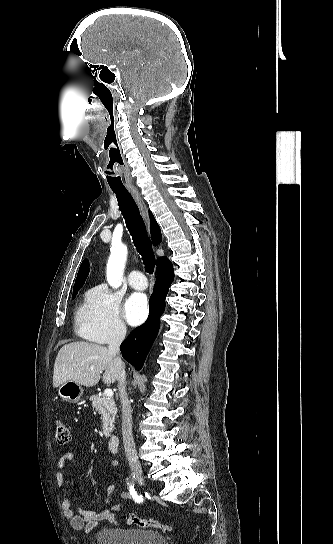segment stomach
<instances>
[{"label":"stomach","mask_w":333,"mask_h":544,"mask_svg":"<svg viewBox=\"0 0 333 544\" xmlns=\"http://www.w3.org/2000/svg\"><path fill=\"white\" fill-rule=\"evenodd\" d=\"M83 395V388L80 384L71 380L64 382L58 388V396L61 400L77 403Z\"/></svg>","instance_id":"1"}]
</instances>
